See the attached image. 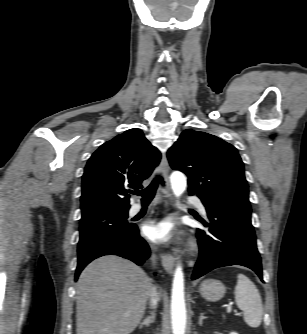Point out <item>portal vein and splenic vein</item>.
<instances>
[{
	"label": "portal vein and splenic vein",
	"mask_w": 307,
	"mask_h": 334,
	"mask_svg": "<svg viewBox=\"0 0 307 334\" xmlns=\"http://www.w3.org/2000/svg\"><path fill=\"white\" fill-rule=\"evenodd\" d=\"M227 311L231 312V307L230 306H228Z\"/></svg>",
	"instance_id": "1"
}]
</instances>
